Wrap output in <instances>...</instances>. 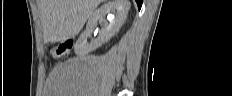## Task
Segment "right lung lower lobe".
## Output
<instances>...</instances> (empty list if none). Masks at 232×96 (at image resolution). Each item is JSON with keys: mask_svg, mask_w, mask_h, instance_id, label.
<instances>
[{"mask_svg": "<svg viewBox=\"0 0 232 96\" xmlns=\"http://www.w3.org/2000/svg\"><path fill=\"white\" fill-rule=\"evenodd\" d=\"M137 5H138V8L140 9L141 8V5H142V2L143 0H135Z\"/></svg>", "mask_w": 232, "mask_h": 96, "instance_id": "right-lung-lower-lobe-1", "label": "right lung lower lobe"}]
</instances>
